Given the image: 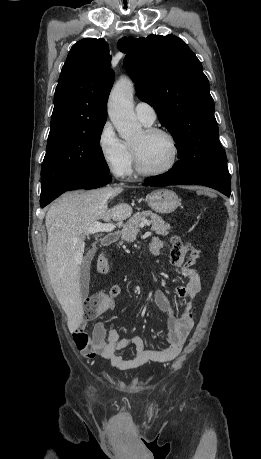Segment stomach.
<instances>
[{
    "label": "stomach",
    "instance_id": "1",
    "mask_svg": "<svg viewBox=\"0 0 261 459\" xmlns=\"http://www.w3.org/2000/svg\"><path fill=\"white\" fill-rule=\"evenodd\" d=\"M146 200L150 208L162 214L172 213L180 205L177 194L166 188L154 190L147 195Z\"/></svg>",
    "mask_w": 261,
    "mask_h": 459
}]
</instances>
